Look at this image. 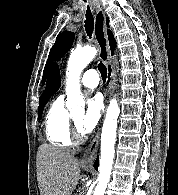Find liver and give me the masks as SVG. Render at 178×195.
Returning <instances> with one entry per match:
<instances>
[{
  "label": "liver",
  "mask_w": 178,
  "mask_h": 195,
  "mask_svg": "<svg viewBox=\"0 0 178 195\" xmlns=\"http://www.w3.org/2000/svg\"><path fill=\"white\" fill-rule=\"evenodd\" d=\"M37 179L41 195H71L79 181L80 163L73 155L42 144L37 155Z\"/></svg>",
  "instance_id": "6515ba94"
}]
</instances>
